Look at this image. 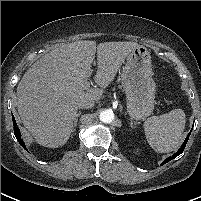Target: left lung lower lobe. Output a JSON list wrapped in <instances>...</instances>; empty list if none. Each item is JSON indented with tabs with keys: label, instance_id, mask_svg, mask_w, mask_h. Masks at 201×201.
Returning <instances> with one entry per match:
<instances>
[{
	"label": "left lung lower lobe",
	"instance_id": "0a47b994",
	"mask_svg": "<svg viewBox=\"0 0 201 201\" xmlns=\"http://www.w3.org/2000/svg\"><path fill=\"white\" fill-rule=\"evenodd\" d=\"M191 131H192V130H191ZM191 131H190V133L188 134V136L186 137L185 141L183 142L181 148H180L173 156H170V157H168L167 159H165V161L161 164V166L164 165L165 163H168V162L171 161L172 159L176 158L177 156H179V155L184 151V148H185V146H186V144H187V142H188V139H189V136H190V134H191Z\"/></svg>",
	"mask_w": 201,
	"mask_h": 201
}]
</instances>
